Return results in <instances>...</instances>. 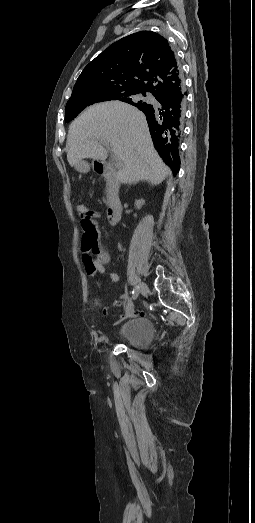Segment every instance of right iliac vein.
I'll return each mask as SVG.
<instances>
[{
  "label": "right iliac vein",
  "instance_id": "1",
  "mask_svg": "<svg viewBox=\"0 0 255 523\" xmlns=\"http://www.w3.org/2000/svg\"><path fill=\"white\" fill-rule=\"evenodd\" d=\"M146 292H147V285L142 282L139 286V293L144 295Z\"/></svg>",
  "mask_w": 255,
  "mask_h": 523
}]
</instances>
